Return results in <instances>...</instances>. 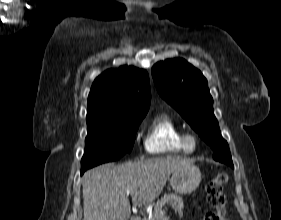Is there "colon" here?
Listing matches in <instances>:
<instances>
[{"label": "colon", "mask_w": 281, "mask_h": 220, "mask_svg": "<svg viewBox=\"0 0 281 220\" xmlns=\"http://www.w3.org/2000/svg\"><path fill=\"white\" fill-rule=\"evenodd\" d=\"M228 180L224 172L216 175L206 187V199L211 207L203 220H227L226 219V195L224 185Z\"/></svg>", "instance_id": "colon-1"}]
</instances>
